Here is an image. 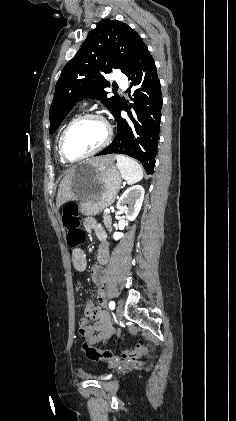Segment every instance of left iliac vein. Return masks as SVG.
I'll return each mask as SVG.
<instances>
[{"label": "left iliac vein", "mask_w": 236, "mask_h": 421, "mask_svg": "<svg viewBox=\"0 0 236 421\" xmlns=\"http://www.w3.org/2000/svg\"><path fill=\"white\" fill-rule=\"evenodd\" d=\"M116 318L118 321H121L123 318V306L119 304L116 309Z\"/></svg>", "instance_id": "4c4485c4"}]
</instances>
